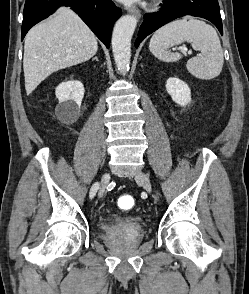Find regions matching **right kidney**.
Wrapping results in <instances>:
<instances>
[{"label": "right kidney", "mask_w": 249, "mask_h": 294, "mask_svg": "<svg viewBox=\"0 0 249 294\" xmlns=\"http://www.w3.org/2000/svg\"><path fill=\"white\" fill-rule=\"evenodd\" d=\"M84 92V86L78 80L65 81L56 87L55 94L59 100L56 113L61 121L75 122L78 119Z\"/></svg>", "instance_id": "right-kidney-1"}]
</instances>
